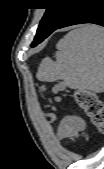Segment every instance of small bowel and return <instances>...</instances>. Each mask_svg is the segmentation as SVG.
Returning a JSON list of instances; mask_svg holds the SVG:
<instances>
[{"label":"small bowel","mask_w":104,"mask_h":169,"mask_svg":"<svg viewBox=\"0 0 104 169\" xmlns=\"http://www.w3.org/2000/svg\"><path fill=\"white\" fill-rule=\"evenodd\" d=\"M85 129L84 120L78 116L65 117L59 126V136L63 139L80 136Z\"/></svg>","instance_id":"1"}]
</instances>
